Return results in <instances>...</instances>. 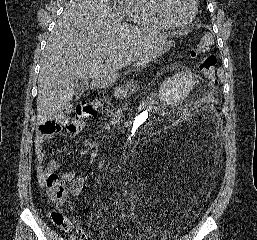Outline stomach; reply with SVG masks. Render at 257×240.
<instances>
[{
  "mask_svg": "<svg viewBox=\"0 0 257 240\" xmlns=\"http://www.w3.org/2000/svg\"><path fill=\"white\" fill-rule=\"evenodd\" d=\"M173 45L172 41L163 40L149 49L135 64L137 68H144L168 52Z\"/></svg>",
  "mask_w": 257,
  "mask_h": 240,
  "instance_id": "0dacf381",
  "label": "stomach"
}]
</instances>
